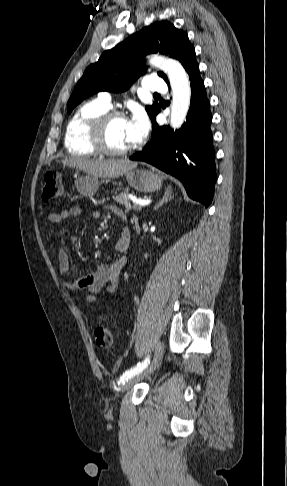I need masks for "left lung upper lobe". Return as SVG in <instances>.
<instances>
[{
  "instance_id": "obj_1",
  "label": "left lung upper lobe",
  "mask_w": 287,
  "mask_h": 486,
  "mask_svg": "<svg viewBox=\"0 0 287 486\" xmlns=\"http://www.w3.org/2000/svg\"><path fill=\"white\" fill-rule=\"evenodd\" d=\"M157 52L179 60L184 68L195 57V49L186 32L168 21L152 23L105 51L96 63L87 67L68 101V113L97 92H124L129 89L146 72L144 57ZM159 76L169 83L163 72H159ZM145 108L151 120L160 111L155 102Z\"/></svg>"
}]
</instances>
